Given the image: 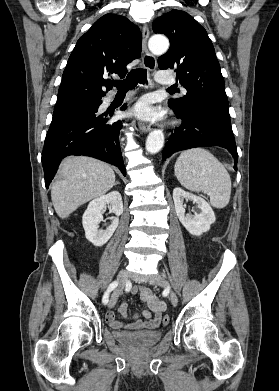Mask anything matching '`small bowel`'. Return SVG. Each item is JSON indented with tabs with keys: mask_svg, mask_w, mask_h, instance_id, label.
<instances>
[{
	"mask_svg": "<svg viewBox=\"0 0 279 391\" xmlns=\"http://www.w3.org/2000/svg\"><path fill=\"white\" fill-rule=\"evenodd\" d=\"M132 293H140V296L147 304V308L142 311V315L146 320L135 319L132 322L123 324L120 320L115 317L113 311L106 313V320L110 326L115 329H154L159 326L161 321V314L166 309L165 303L160 300L153 292L143 286H133L131 288ZM116 304V303H115ZM118 312L122 316L127 315V304L122 302L118 305Z\"/></svg>",
	"mask_w": 279,
	"mask_h": 391,
	"instance_id": "obj_1",
	"label": "small bowel"
}]
</instances>
